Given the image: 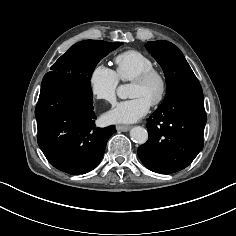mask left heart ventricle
<instances>
[{
    "mask_svg": "<svg viewBox=\"0 0 236 236\" xmlns=\"http://www.w3.org/2000/svg\"><path fill=\"white\" fill-rule=\"evenodd\" d=\"M159 90L160 84L157 79H152L151 81L145 84L131 83L129 96H140L147 100L149 103H151L158 95Z\"/></svg>",
    "mask_w": 236,
    "mask_h": 236,
    "instance_id": "obj_1",
    "label": "left heart ventricle"
}]
</instances>
